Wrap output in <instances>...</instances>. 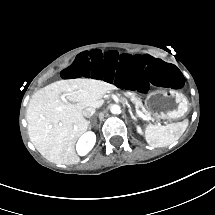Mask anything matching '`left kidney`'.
Segmentation results:
<instances>
[{
  "label": "left kidney",
  "mask_w": 215,
  "mask_h": 215,
  "mask_svg": "<svg viewBox=\"0 0 215 215\" xmlns=\"http://www.w3.org/2000/svg\"><path fill=\"white\" fill-rule=\"evenodd\" d=\"M137 132H138L139 134H142V130H141V127H140V126H137Z\"/></svg>",
  "instance_id": "left-kidney-1"
}]
</instances>
